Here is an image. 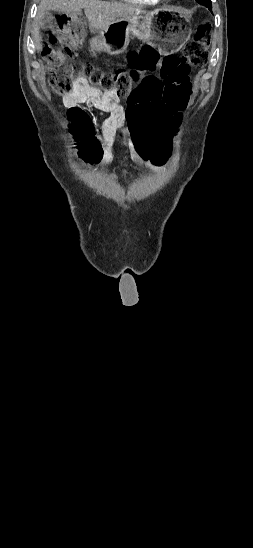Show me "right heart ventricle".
Wrapping results in <instances>:
<instances>
[{
	"label": "right heart ventricle",
	"instance_id": "1",
	"mask_svg": "<svg viewBox=\"0 0 253 548\" xmlns=\"http://www.w3.org/2000/svg\"><path fill=\"white\" fill-rule=\"evenodd\" d=\"M121 1L132 3V4H138V5H155L159 2V0H121Z\"/></svg>",
	"mask_w": 253,
	"mask_h": 548
}]
</instances>
